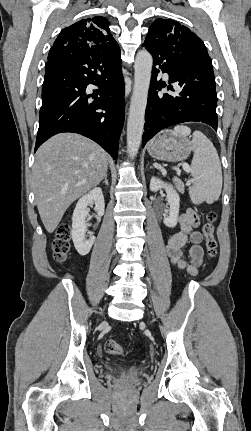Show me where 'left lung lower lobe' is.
I'll list each match as a JSON object with an SVG mask.
<instances>
[{
  "mask_svg": "<svg viewBox=\"0 0 251 431\" xmlns=\"http://www.w3.org/2000/svg\"><path fill=\"white\" fill-rule=\"evenodd\" d=\"M143 46L153 56V69L142 147L159 131L178 123L203 122L217 131V96L212 64L199 61L185 52L169 51L160 44L146 40ZM160 70L169 74V84L176 83L179 86L176 94L158 95L156 90L166 86L156 81ZM168 89L175 91L172 85Z\"/></svg>",
  "mask_w": 251,
  "mask_h": 431,
  "instance_id": "0a47b994",
  "label": "left lung lower lobe"
}]
</instances>
